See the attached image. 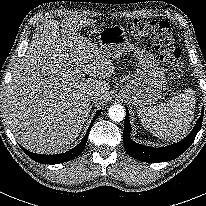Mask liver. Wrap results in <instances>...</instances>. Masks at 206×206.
Instances as JSON below:
<instances>
[{
  "label": "liver",
  "mask_w": 206,
  "mask_h": 206,
  "mask_svg": "<svg viewBox=\"0 0 206 206\" xmlns=\"http://www.w3.org/2000/svg\"><path fill=\"white\" fill-rule=\"evenodd\" d=\"M93 22L74 17L37 27L4 100L8 123L24 148L38 154L65 150L89 116V94L99 95L97 105L107 98L105 78L114 73V58L78 33ZM82 72L91 78L80 77Z\"/></svg>",
  "instance_id": "1"
}]
</instances>
